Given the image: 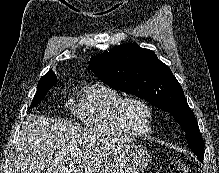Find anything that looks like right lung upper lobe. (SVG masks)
<instances>
[{
  "instance_id": "obj_1",
  "label": "right lung upper lobe",
  "mask_w": 219,
  "mask_h": 173,
  "mask_svg": "<svg viewBox=\"0 0 219 173\" xmlns=\"http://www.w3.org/2000/svg\"><path fill=\"white\" fill-rule=\"evenodd\" d=\"M44 76H55V73L52 71V70H50L47 74H45ZM44 76H42V77H44ZM56 77V76H55ZM55 81H57V79H55Z\"/></svg>"
}]
</instances>
